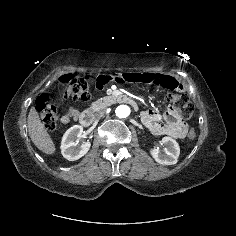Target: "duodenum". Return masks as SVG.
<instances>
[{
    "label": "duodenum",
    "instance_id": "1",
    "mask_svg": "<svg viewBox=\"0 0 236 236\" xmlns=\"http://www.w3.org/2000/svg\"><path fill=\"white\" fill-rule=\"evenodd\" d=\"M115 100L120 103H125L128 105H131L135 108L137 107L136 101L128 95L120 94L115 97ZM79 121H80L81 125L88 127V126L92 125V123L94 121V115L92 112H89V111L83 112L79 116Z\"/></svg>",
    "mask_w": 236,
    "mask_h": 236
}]
</instances>
